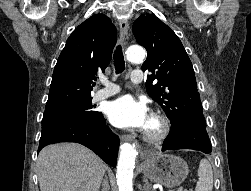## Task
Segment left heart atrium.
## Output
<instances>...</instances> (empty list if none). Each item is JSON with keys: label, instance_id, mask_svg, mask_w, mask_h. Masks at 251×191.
<instances>
[{"label": "left heart atrium", "instance_id": "left-heart-atrium-1", "mask_svg": "<svg viewBox=\"0 0 251 191\" xmlns=\"http://www.w3.org/2000/svg\"><path fill=\"white\" fill-rule=\"evenodd\" d=\"M106 115L114 126L122 129H144L149 123L146 105L129 96L109 102L106 107Z\"/></svg>", "mask_w": 251, "mask_h": 191}]
</instances>
